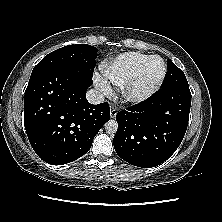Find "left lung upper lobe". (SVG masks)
<instances>
[{
  "label": "left lung upper lobe",
  "mask_w": 222,
  "mask_h": 222,
  "mask_svg": "<svg viewBox=\"0 0 222 222\" xmlns=\"http://www.w3.org/2000/svg\"><path fill=\"white\" fill-rule=\"evenodd\" d=\"M167 75L162 87L168 86H188L187 79L181 69H179L170 59L167 60Z\"/></svg>",
  "instance_id": "obj_1"
}]
</instances>
